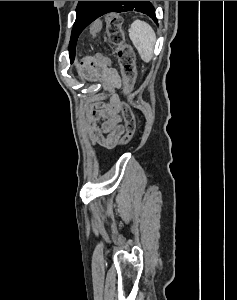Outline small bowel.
<instances>
[{
    "instance_id": "1",
    "label": "small bowel",
    "mask_w": 237,
    "mask_h": 300,
    "mask_svg": "<svg viewBox=\"0 0 237 300\" xmlns=\"http://www.w3.org/2000/svg\"><path fill=\"white\" fill-rule=\"evenodd\" d=\"M79 71L82 78L99 83L109 93L107 103L97 102L87 109L85 129L93 144L111 149L123 133L120 102L116 94L121 83L120 76L115 68L92 65L87 58L80 63ZM99 120L102 123L98 126Z\"/></svg>"
}]
</instances>
